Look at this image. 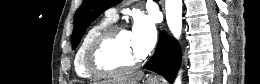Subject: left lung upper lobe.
Returning a JSON list of instances; mask_svg holds the SVG:
<instances>
[{
    "instance_id": "obj_1",
    "label": "left lung upper lobe",
    "mask_w": 260,
    "mask_h": 84,
    "mask_svg": "<svg viewBox=\"0 0 260 84\" xmlns=\"http://www.w3.org/2000/svg\"><path fill=\"white\" fill-rule=\"evenodd\" d=\"M120 0H84L75 15L72 35V46L76 48L87 27L106 9L119 3Z\"/></svg>"
}]
</instances>
